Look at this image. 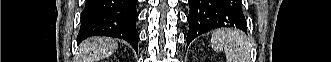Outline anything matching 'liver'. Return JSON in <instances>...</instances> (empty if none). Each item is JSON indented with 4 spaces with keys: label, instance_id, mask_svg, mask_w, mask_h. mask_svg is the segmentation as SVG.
<instances>
[{
    "label": "liver",
    "instance_id": "6515ba94",
    "mask_svg": "<svg viewBox=\"0 0 331 62\" xmlns=\"http://www.w3.org/2000/svg\"><path fill=\"white\" fill-rule=\"evenodd\" d=\"M118 47L116 40L107 37H92L84 40L79 47L81 62H97L113 54Z\"/></svg>",
    "mask_w": 331,
    "mask_h": 62
}]
</instances>
